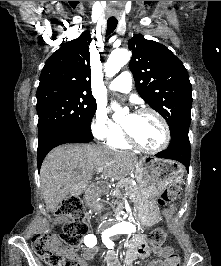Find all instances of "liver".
I'll use <instances>...</instances> for the list:
<instances>
[{"mask_svg": "<svg viewBox=\"0 0 221 266\" xmlns=\"http://www.w3.org/2000/svg\"><path fill=\"white\" fill-rule=\"evenodd\" d=\"M138 157L130 152L93 144H66L48 153L40 170L46 208L54 211L69 193L85 190L95 168L102 177L122 180L136 167Z\"/></svg>", "mask_w": 221, "mask_h": 266, "instance_id": "6515ba94", "label": "liver"}]
</instances>
